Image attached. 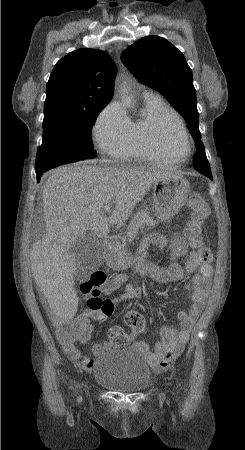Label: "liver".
I'll use <instances>...</instances> for the list:
<instances>
[{
	"instance_id": "liver-1",
	"label": "liver",
	"mask_w": 245,
	"mask_h": 450,
	"mask_svg": "<svg viewBox=\"0 0 245 450\" xmlns=\"http://www.w3.org/2000/svg\"><path fill=\"white\" fill-rule=\"evenodd\" d=\"M180 176L163 169L65 165L49 173L42 192L45 236L33 244L30 262L35 282L51 309L71 319L77 310L76 263L70 247L88 234L100 240L109 224L121 227L157 179ZM113 207L109 216L103 208Z\"/></svg>"
}]
</instances>
